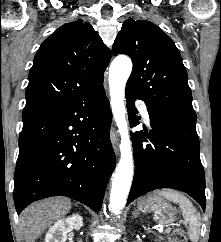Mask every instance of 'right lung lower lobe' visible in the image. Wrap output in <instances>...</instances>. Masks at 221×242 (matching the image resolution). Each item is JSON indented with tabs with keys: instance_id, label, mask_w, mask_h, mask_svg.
Masks as SVG:
<instances>
[{
	"instance_id": "obj_1",
	"label": "right lung lower lobe",
	"mask_w": 221,
	"mask_h": 242,
	"mask_svg": "<svg viewBox=\"0 0 221 242\" xmlns=\"http://www.w3.org/2000/svg\"><path fill=\"white\" fill-rule=\"evenodd\" d=\"M111 120L103 82L63 107L23 117L14 176L17 213L51 196L98 212L116 165Z\"/></svg>"
}]
</instances>
